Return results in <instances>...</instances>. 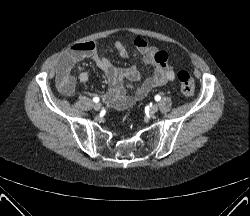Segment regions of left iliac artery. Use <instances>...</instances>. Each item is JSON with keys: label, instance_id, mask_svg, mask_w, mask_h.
<instances>
[{"label": "left iliac artery", "instance_id": "44dca946", "mask_svg": "<svg viewBox=\"0 0 250 216\" xmlns=\"http://www.w3.org/2000/svg\"><path fill=\"white\" fill-rule=\"evenodd\" d=\"M160 99H161V97H160L159 95H156V96H155V100H156V101H159Z\"/></svg>", "mask_w": 250, "mask_h": 216}]
</instances>
